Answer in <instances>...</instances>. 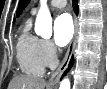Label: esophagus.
Listing matches in <instances>:
<instances>
[{
	"instance_id": "esophagus-1",
	"label": "esophagus",
	"mask_w": 107,
	"mask_h": 89,
	"mask_svg": "<svg viewBox=\"0 0 107 89\" xmlns=\"http://www.w3.org/2000/svg\"><path fill=\"white\" fill-rule=\"evenodd\" d=\"M77 32H78V23H77V19L75 18L74 20V35L73 38L68 46L67 52L65 54V57L61 63V65L59 66V68L51 75L50 79H49V84L50 85H55L58 83V80L60 78V76L62 75V73L64 72V70L68 67V64L70 62V59L72 57V54L74 52L75 46H76V42H77Z\"/></svg>"
}]
</instances>
